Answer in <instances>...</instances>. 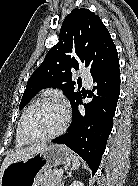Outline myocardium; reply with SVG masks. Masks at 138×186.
Returning a JSON list of instances; mask_svg holds the SVG:
<instances>
[{
	"label": "myocardium",
	"mask_w": 138,
	"mask_h": 186,
	"mask_svg": "<svg viewBox=\"0 0 138 186\" xmlns=\"http://www.w3.org/2000/svg\"><path fill=\"white\" fill-rule=\"evenodd\" d=\"M44 105H54V106H57L63 110L64 121H63L62 126L56 132H54L50 135H46L43 137H35V138L27 136L23 130V125H24V121H25L26 117L35 108L40 107V106H44ZM69 121H70V113H69L68 109L61 102H59L58 100H56L54 98H45V99H42V100H39V101L33 103L30 107H28L25 110V112L22 114L20 121H19L18 133H19L21 139L27 143H37V142L49 141V140H52V139L58 137L59 135H61L67 129Z\"/></svg>",
	"instance_id": "obj_1"
}]
</instances>
